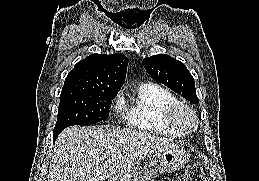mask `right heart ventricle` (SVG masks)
<instances>
[{
	"mask_svg": "<svg viewBox=\"0 0 259 181\" xmlns=\"http://www.w3.org/2000/svg\"><path fill=\"white\" fill-rule=\"evenodd\" d=\"M178 103V98L166 87L144 83L139 86L134 99L125 106V123L130 128L147 133L182 137L186 133L168 121L170 108Z\"/></svg>",
	"mask_w": 259,
	"mask_h": 181,
	"instance_id": "right-heart-ventricle-1",
	"label": "right heart ventricle"
}]
</instances>
